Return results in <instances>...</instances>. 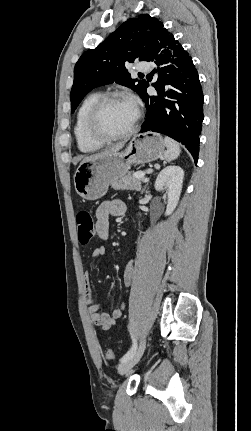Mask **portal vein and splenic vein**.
I'll list each match as a JSON object with an SVG mask.
<instances>
[{"label": "portal vein and splenic vein", "mask_w": 251, "mask_h": 431, "mask_svg": "<svg viewBox=\"0 0 251 431\" xmlns=\"http://www.w3.org/2000/svg\"><path fill=\"white\" fill-rule=\"evenodd\" d=\"M135 177H136V178H143V179H144V181H147V178H144V177H145V173H143V172H138V173H136V174H135Z\"/></svg>", "instance_id": "1"}]
</instances>
